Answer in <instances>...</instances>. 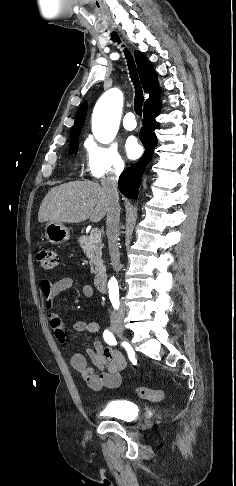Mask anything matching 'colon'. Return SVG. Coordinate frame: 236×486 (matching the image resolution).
I'll use <instances>...</instances> for the list:
<instances>
[{
    "label": "colon",
    "instance_id": "5ec220e1",
    "mask_svg": "<svg viewBox=\"0 0 236 486\" xmlns=\"http://www.w3.org/2000/svg\"><path fill=\"white\" fill-rule=\"evenodd\" d=\"M37 260L44 270H53L59 263L58 254L51 248H42L37 253ZM138 396L142 399L159 402L164 399V392L162 390H152L144 386L136 388Z\"/></svg>",
    "mask_w": 236,
    "mask_h": 486
}]
</instances>
